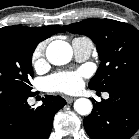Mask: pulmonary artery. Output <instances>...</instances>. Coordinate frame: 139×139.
<instances>
[{
  "instance_id": "1",
  "label": "pulmonary artery",
  "mask_w": 139,
  "mask_h": 139,
  "mask_svg": "<svg viewBox=\"0 0 139 139\" xmlns=\"http://www.w3.org/2000/svg\"><path fill=\"white\" fill-rule=\"evenodd\" d=\"M75 59L79 62L87 60L93 50V43L87 37H77L71 42ZM109 97L108 93L104 94V98Z\"/></svg>"
}]
</instances>
